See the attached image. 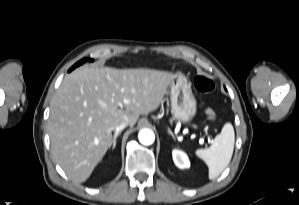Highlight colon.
I'll use <instances>...</instances> for the list:
<instances>
[{
  "label": "colon",
  "instance_id": "5ec220e1",
  "mask_svg": "<svg viewBox=\"0 0 299 205\" xmlns=\"http://www.w3.org/2000/svg\"><path fill=\"white\" fill-rule=\"evenodd\" d=\"M194 86L195 88L204 94H209L214 90V83L213 81L205 76V75H199L194 79ZM206 114L213 118L215 116V111L211 107L206 108Z\"/></svg>",
  "mask_w": 299,
  "mask_h": 205
}]
</instances>
